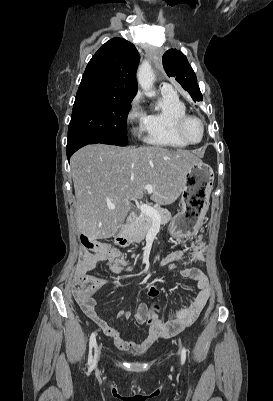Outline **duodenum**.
I'll return each instance as SVG.
<instances>
[{
	"label": "duodenum",
	"instance_id": "duodenum-1",
	"mask_svg": "<svg viewBox=\"0 0 273 401\" xmlns=\"http://www.w3.org/2000/svg\"><path fill=\"white\" fill-rule=\"evenodd\" d=\"M136 218L135 213L131 212L128 214V216L126 217V221H125V226L129 225L131 222L134 221V219ZM117 242L120 245H124L127 242V239L125 237V233L124 231H121L120 234L117 237Z\"/></svg>",
	"mask_w": 273,
	"mask_h": 401
}]
</instances>
